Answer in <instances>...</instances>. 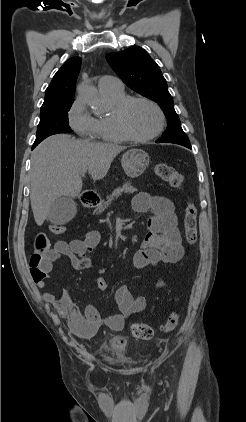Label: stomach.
<instances>
[{
    "label": "stomach",
    "instance_id": "obj_1",
    "mask_svg": "<svg viewBox=\"0 0 246 422\" xmlns=\"http://www.w3.org/2000/svg\"><path fill=\"white\" fill-rule=\"evenodd\" d=\"M149 161L145 151L133 148L123 154L121 164L127 176L137 178L146 170Z\"/></svg>",
    "mask_w": 246,
    "mask_h": 422
}]
</instances>
